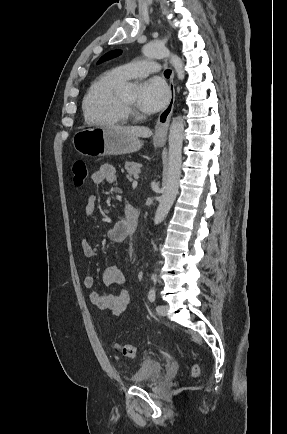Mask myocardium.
Listing matches in <instances>:
<instances>
[{
  "mask_svg": "<svg viewBox=\"0 0 287 434\" xmlns=\"http://www.w3.org/2000/svg\"><path fill=\"white\" fill-rule=\"evenodd\" d=\"M117 103L127 117H136L139 115L136 107L126 102L119 92L117 93Z\"/></svg>",
  "mask_w": 287,
  "mask_h": 434,
  "instance_id": "obj_1",
  "label": "myocardium"
}]
</instances>
